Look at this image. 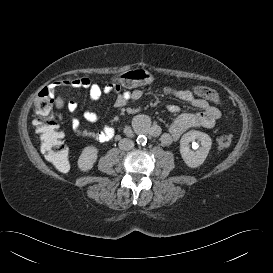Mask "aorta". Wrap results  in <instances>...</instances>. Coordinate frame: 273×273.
Here are the masks:
<instances>
[{"label": "aorta", "mask_w": 273, "mask_h": 273, "mask_svg": "<svg viewBox=\"0 0 273 273\" xmlns=\"http://www.w3.org/2000/svg\"><path fill=\"white\" fill-rule=\"evenodd\" d=\"M137 143L140 145H145L147 143V138L144 135H139L137 137Z\"/></svg>", "instance_id": "obj_1"}]
</instances>
